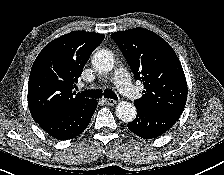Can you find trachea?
I'll list each match as a JSON object with an SVG mask.
<instances>
[{
  "label": "trachea",
  "mask_w": 224,
  "mask_h": 175,
  "mask_svg": "<svg viewBox=\"0 0 224 175\" xmlns=\"http://www.w3.org/2000/svg\"><path fill=\"white\" fill-rule=\"evenodd\" d=\"M83 96L91 97V98H102V96L110 99L117 100V95L112 90H85L82 92Z\"/></svg>",
  "instance_id": "3493384b"
}]
</instances>
